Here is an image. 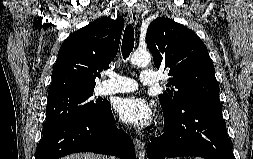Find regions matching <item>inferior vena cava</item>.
<instances>
[{
	"label": "inferior vena cava",
	"mask_w": 253,
	"mask_h": 159,
	"mask_svg": "<svg viewBox=\"0 0 253 159\" xmlns=\"http://www.w3.org/2000/svg\"><path fill=\"white\" fill-rule=\"evenodd\" d=\"M109 159H116L115 157H110Z\"/></svg>",
	"instance_id": "obj_1"
}]
</instances>
